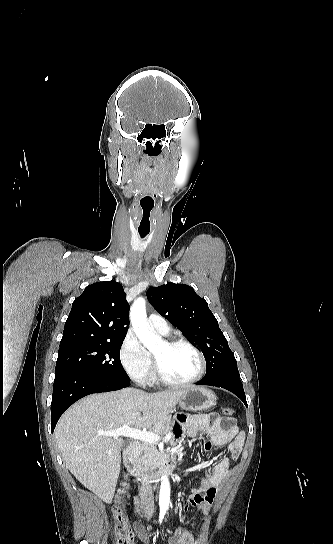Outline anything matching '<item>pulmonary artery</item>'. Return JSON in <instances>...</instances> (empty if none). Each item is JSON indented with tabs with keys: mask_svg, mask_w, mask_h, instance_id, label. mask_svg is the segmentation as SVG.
<instances>
[{
	"mask_svg": "<svg viewBox=\"0 0 333 544\" xmlns=\"http://www.w3.org/2000/svg\"><path fill=\"white\" fill-rule=\"evenodd\" d=\"M148 322L153 329L157 332L167 335L169 333V326L167 321L158 314H151L148 318Z\"/></svg>",
	"mask_w": 333,
	"mask_h": 544,
	"instance_id": "e3ab8cb5",
	"label": "pulmonary artery"
}]
</instances>
